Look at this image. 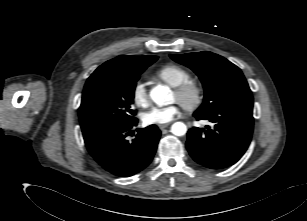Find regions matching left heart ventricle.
I'll return each mask as SVG.
<instances>
[{
    "instance_id": "1",
    "label": "left heart ventricle",
    "mask_w": 307,
    "mask_h": 221,
    "mask_svg": "<svg viewBox=\"0 0 307 221\" xmlns=\"http://www.w3.org/2000/svg\"><path fill=\"white\" fill-rule=\"evenodd\" d=\"M172 98H173V99H177V95L175 94V92H173Z\"/></svg>"
}]
</instances>
